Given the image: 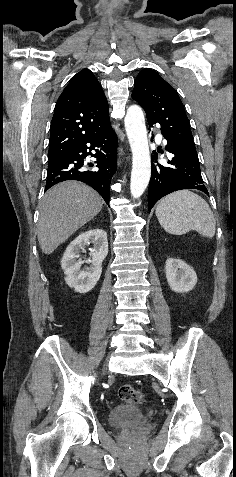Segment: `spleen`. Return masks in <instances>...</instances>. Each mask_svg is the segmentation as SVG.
Instances as JSON below:
<instances>
[{"label": "spleen", "mask_w": 236, "mask_h": 477, "mask_svg": "<svg viewBox=\"0 0 236 477\" xmlns=\"http://www.w3.org/2000/svg\"><path fill=\"white\" fill-rule=\"evenodd\" d=\"M156 217L162 228L173 235H182L191 230L204 237L215 235L216 221L207 202L190 190H180L163 198Z\"/></svg>", "instance_id": "spleen-1"}]
</instances>
